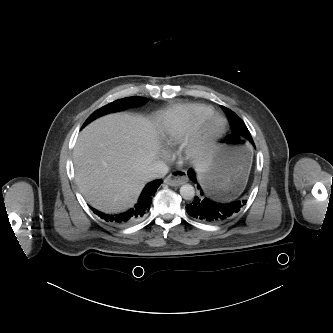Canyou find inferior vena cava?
Returning a JSON list of instances; mask_svg holds the SVG:
<instances>
[{
  "label": "inferior vena cava",
  "mask_w": 333,
  "mask_h": 333,
  "mask_svg": "<svg viewBox=\"0 0 333 333\" xmlns=\"http://www.w3.org/2000/svg\"><path fill=\"white\" fill-rule=\"evenodd\" d=\"M169 172V167L162 161L153 162L145 171L144 179L147 181L163 178Z\"/></svg>",
  "instance_id": "obj_1"
}]
</instances>
